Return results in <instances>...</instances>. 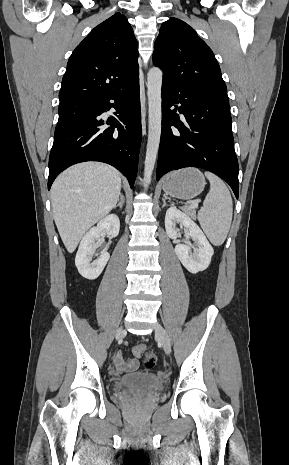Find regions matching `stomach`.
<instances>
[{"label":"stomach","instance_id":"obj_1","mask_svg":"<svg viewBox=\"0 0 289 465\" xmlns=\"http://www.w3.org/2000/svg\"><path fill=\"white\" fill-rule=\"evenodd\" d=\"M205 184V178L199 169L184 168L167 175L162 188L167 195L189 200L199 195Z\"/></svg>","mask_w":289,"mask_h":465}]
</instances>
